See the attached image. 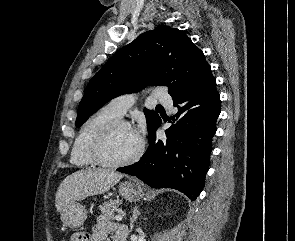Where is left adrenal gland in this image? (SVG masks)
<instances>
[{"label":"left adrenal gland","instance_id":"1","mask_svg":"<svg viewBox=\"0 0 295 241\" xmlns=\"http://www.w3.org/2000/svg\"><path fill=\"white\" fill-rule=\"evenodd\" d=\"M132 212H133V215L130 218V231L133 230V228H134V222L137 220L138 216L141 214V212L138 210V207L137 206H135L133 208V211Z\"/></svg>","mask_w":295,"mask_h":241}]
</instances>
